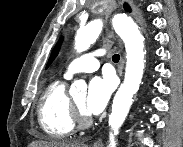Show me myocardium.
<instances>
[{
  "label": "myocardium",
  "mask_w": 183,
  "mask_h": 147,
  "mask_svg": "<svg viewBox=\"0 0 183 147\" xmlns=\"http://www.w3.org/2000/svg\"><path fill=\"white\" fill-rule=\"evenodd\" d=\"M71 105H72V115L75 124H77L81 128L89 126L92 123V118L80 107H78L77 104L72 100Z\"/></svg>",
  "instance_id": "f54148a6"
}]
</instances>
